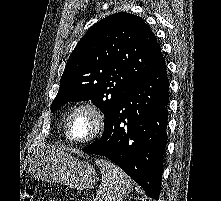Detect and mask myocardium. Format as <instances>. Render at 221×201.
Returning a JSON list of instances; mask_svg holds the SVG:
<instances>
[{
	"label": "myocardium",
	"mask_w": 221,
	"mask_h": 201,
	"mask_svg": "<svg viewBox=\"0 0 221 201\" xmlns=\"http://www.w3.org/2000/svg\"><path fill=\"white\" fill-rule=\"evenodd\" d=\"M78 113H87L91 115L94 120V129L92 133L88 137L82 138V139L74 138L71 134V122H72L73 117ZM104 121H105L104 115L96 104L92 102L81 103L77 105L76 107H74L69 113V115L67 116V119L65 122L66 137L70 141L77 143V144H85V143L91 142L102 133L104 129Z\"/></svg>",
	"instance_id": "1"
}]
</instances>
